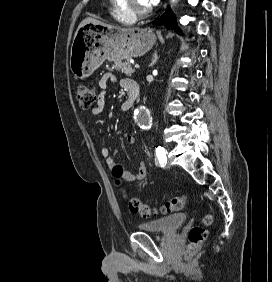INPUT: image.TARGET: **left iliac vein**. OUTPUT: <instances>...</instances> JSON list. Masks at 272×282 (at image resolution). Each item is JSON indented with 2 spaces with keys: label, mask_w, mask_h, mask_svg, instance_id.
Instances as JSON below:
<instances>
[{
  "label": "left iliac vein",
  "mask_w": 272,
  "mask_h": 282,
  "mask_svg": "<svg viewBox=\"0 0 272 282\" xmlns=\"http://www.w3.org/2000/svg\"><path fill=\"white\" fill-rule=\"evenodd\" d=\"M166 167H170V164H169V163H166Z\"/></svg>",
  "instance_id": "obj_1"
}]
</instances>
